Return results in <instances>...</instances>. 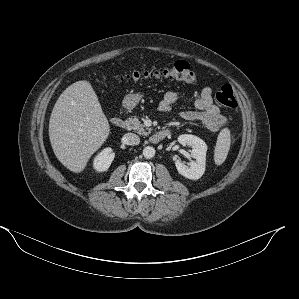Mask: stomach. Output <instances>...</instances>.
<instances>
[{"label":"stomach","mask_w":299,"mask_h":299,"mask_svg":"<svg viewBox=\"0 0 299 299\" xmlns=\"http://www.w3.org/2000/svg\"><path fill=\"white\" fill-rule=\"evenodd\" d=\"M141 98L142 96L140 94L130 95L127 99L126 106L128 108H134L139 103Z\"/></svg>","instance_id":"0dacf381"}]
</instances>
